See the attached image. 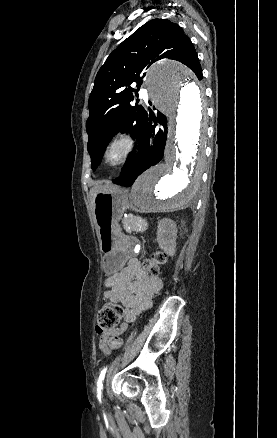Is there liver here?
<instances>
[{"label":"liver","instance_id":"liver-1","mask_svg":"<svg viewBox=\"0 0 277 438\" xmlns=\"http://www.w3.org/2000/svg\"><path fill=\"white\" fill-rule=\"evenodd\" d=\"M99 192H101V190H99V188H91L90 196H95V194H99Z\"/></svg>","mask_w":277,"mask_h":438}]
</instances>
